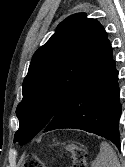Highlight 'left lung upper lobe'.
<instances>
[{
  "label": "left lung upper lobe",
  "instance_id": "obj_1",
  "mask_svg": "<svg viewBox=\"0 0 125 167\" xmlns=\"http://www.w3.org/2000/svg\"><path fill=\"white\" fill-rule=\"evenodd\" d=\"M106 39L103 26L84 13L71 15L58 25L33 55L23 81L14 142L24 145L48 125L88 76Z\"/></svg>",
  "mask_w": 125,
  "mask_h": 167
}]
</instances>
